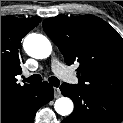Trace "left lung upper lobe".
Returning a JSON list of instances; mask_svg holds the SVG:
<instances>
[{
	"label": "left lung upper lobe",
	"mask_w": 123,
	"mask_h": 123,
	"mask_svg": "<svg viewBox=\"0 0 123 123\" xmlns=\"http://www.w3.org/2000/svg\"><path fill=\"white\" fill-rule=\"evenodd\" d=\"M43 29L68 65L79 62L78 88L123 100V39L115 29L93 15L47 18Z\"/></svg>",
	"instance_id": "obj_1"
}]
</instances>
